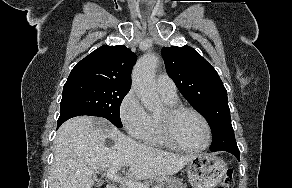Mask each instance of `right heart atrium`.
I'll return each mask as SVG.
<instances>
[{
  "instance_id": "d8ad5b80",
  "label": "right heart atrium",
  "mask_w": 292,
  "mask_h": 188,
  "mask_svg": "<svg viewBox=\"0 0 292 188\" xmlns=\"http://www.w3.org/2000/svg\"><path fill=\"white\" fill-rule=\"evenodd\" d=\"M118 112L127 133L134 139H142L149 126V114L133 89L122 98Z\"/></svg>"
}]
</instances>
